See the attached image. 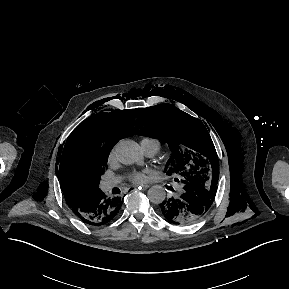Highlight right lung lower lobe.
Wrapping results in <instances>:
<instances>
[{
  "label": "right lung lower lobe",
  "mask_w": 289,
  "mask_h": 289,
  "mask_svg": "<svg viewBox=\"0 0 289 289\" xmlns=\"http://www.w3.org/2000/svg\"><path fill=\"white\" fill-rule=\"evenodd\" d=\"M121 205V198H109L99 190L92 194L82 205L72 208V210L83 222L100 226L113 219Z\"/></svg>",
  "instance_id": "obj_1"
}]
</instances>
